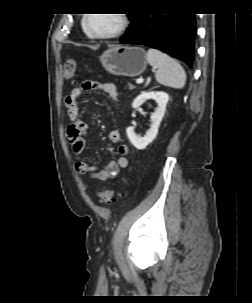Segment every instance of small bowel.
Masks as SVG:
<instances>
[{
    "label": "small bowel",
    "instance_id": "c3829d8e",
    "mask_svg": "<svg viewBox=\"0 0 252 303\" xmlns=\"http://www.w3.org/2000/svg\"><path fill=\"white\" fill-rule=\"evenodd\" d=\"M91 90H99L105 93L114 104L120 102L117 89L112 83L95 84L83 82L72 89L66 98L67 113L71 122L67 129V139L75 156L74 165L76 172L80 175H89L95 181H105L115 177L120 169L128 165L129 147L127 144L121 143L120 130L115 127L110 130L108 138L112 143L119 144L117 147L118 157L116 159L109 160L103 168L82 159L81 154L86 145L89 124L80 116L79 103L82 94Z\"/></svg>",
    "mask_w": 252,
    "mask_h": 303
}]
</instances>
